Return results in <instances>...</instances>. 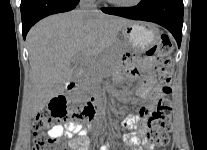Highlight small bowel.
Instances as JSON below:
<instances>
[{"label":"small bowel","mask_w":207,"mask_h":150,"mask_svg":"<svg viewBox=\"0 0 207 150\" xmlns=\"http://www.w3.org/2000/svg\"><path fill=\"white\" fill-rule=\"evenodd\" d=\"M152 65L153 60L150 58H145L140 62L139 67L129 66L126 69V72L130 77L134 78L137 77L140 72L148 73L151 70ZM121 78V75H118L116 79L117 81H120ZM137 93L142 97L149 98L152 102L156 101L162 95L161 89L152 75H147L145 79L139 83ZM148 116L149 109L143 107L138 114L128 115L122 121V126L124 128L135 130L127 136V142L133 148V150H143L140 147L141 140L139 134H143L145 132V119ZM49 135L53 138H59L63 135L67 136L69 138V150L89 149L87 130L77 121H70L65 125H58L49 131ZM106 144L107 145H99V150H112V145H115L116 141L107 140Z\"/></svg>","instance_id":"obj_1"}]
</instances>
